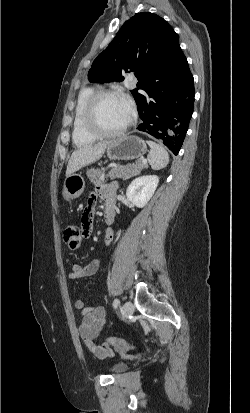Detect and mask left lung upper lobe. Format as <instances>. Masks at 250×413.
Instances as JSON below:
<instances>
[{"instance_id":"5c2ea615","label":"left lung upper lobe","mask_w":250,"mask_h":413,"mask_svg":"<svg viewBox=\"0 0 250 413\" xmlns=\"http://www.w3.org/2000/svg\"><path fill=\"white\" fill-rule=\"evenodd\" d=\"M178 36L161 17L150 12L138 13L126 21L109 46L94 60L88 72L92 82H121L134 72L139 80L131 90L134 98L146 79L161 65L160 40Z\"/></svg>"}]
</instances>
